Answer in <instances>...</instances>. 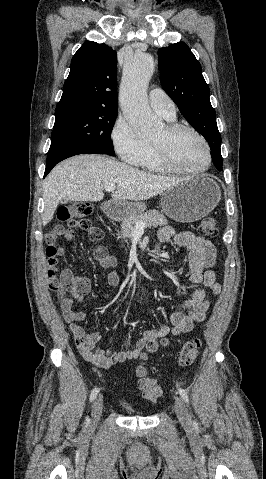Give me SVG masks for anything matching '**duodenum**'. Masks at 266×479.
Wrapping results in <instances>:
<instances>
[{
  "instance_id": "1",
  "label": "duodenum",
  "mask_w": 266,
  "mask_h": 479,
  "mask_svg": "<svg viewBox=\"0 0 266 479\" xmlns=\"http://www.w3.org/2000/svg\"><path fill=\"white\" fill-rule=\"evenodd\" d=\"M114 205L113 203H107L104 205V212L106 215H111L113 212H114V209H113Z\"/></svg>"
}]
</instances>
